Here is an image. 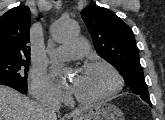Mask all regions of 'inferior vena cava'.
<instances>
[{"label": "inferior vena cava", "instance_id": "inferior-vena-cava-1", "mask_svg": "<svg viewBox=\"0 0 165 120\" xmlns=\"http://www.w3.org/2000/svg\"><path fill=\"white\" fill-rule=\"evenodd\" d=\"M60 108V101L51 96L41 99L42 120H56V112Z\"/></svg>", "mask_w": 165, "mask_h": 120}]
</instances>
